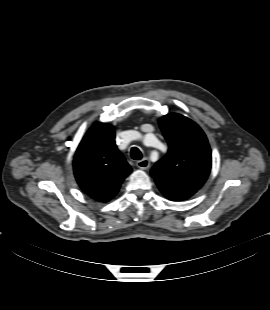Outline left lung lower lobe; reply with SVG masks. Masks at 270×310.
Instances as JSON below:
<instances>
[{
    "label": "left lung lower lobe",
    "instance_id": "left-lung-lower-lobe-1",
    "mask_svg": "<svg viewBox=\"0 0 270 310\" xmlns=\"http://www.w3.org/2000/svg\"><path fill=\"white\" fill-rule=\"evenodd\" d=\"M157 186L165 197L174 201L186 200L196 193L191 190H181L159 185Z\"/></svg>",
    "mask_w": 270,
    "mask_h": 310
}]
</instances>
